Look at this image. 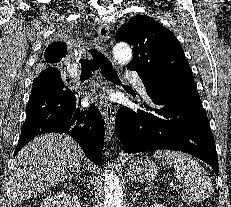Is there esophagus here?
<instances>
[{
  "instance_id": "esophagus-1",
  "label": "esophagus",
  "mask_w": 231,
  "mask_h": 207,
  "mask_svg": "<svg viewBox=\"0 0 231 207\" xmlns=\"http://www.w3.org/2000/svg\"><path fill=\"white\" fill-rule=\"evenodd\" d=\"M98 40L100 44H104L110 36V27L107 23H101L97 30ZM115 113L116 110L110 102H104L102 106V116L106 126V135L113 137L115 133Z\"/></svg>"
}]
</instances>
